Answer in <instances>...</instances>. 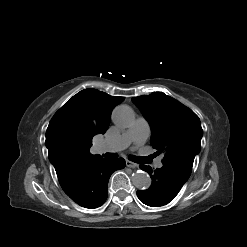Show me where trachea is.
Listing matches in <instances>:
<instances>
[{"mask_svg":"<svg viewBox=\"0 0 247 247\" xmlns=\"http://www.w3.org/2000/svg\"><path fill=\"white\" fill-rule=\"evenodd\" d=\"M105 157H108V158H115V157H116V154H114V153H106V154H105Z\"/></svg>","mask_w":247,"mask_h":247,"instance_id":"obj_1","label":"trachea"}]
</instances>
